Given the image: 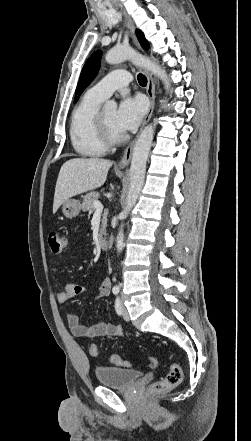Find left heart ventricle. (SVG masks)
Masks as SVG:
<instances>
[{
	"instance_id": "b2bd125f",
	"label": "left heart ventricle",
	"mask_w": 251,
	"mask_h": 441,
	"mask_svg": "<svg viewBox=\"0 0 251 441\" xmlns=\"http://www.w3.org/2000/svg\"><path fill=\"white\" fill-rule=\"evenodd\" d=\"M116 112L117 111L115 109H108L102 111L105 123L108 129L110 130V132L115 136H119L123 133L119 131V129L116 127V123H115Z\"/></svg>"
}]
</instances>
